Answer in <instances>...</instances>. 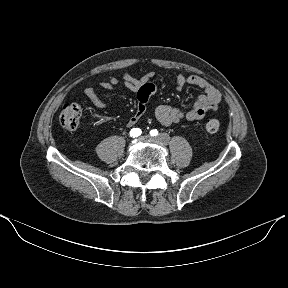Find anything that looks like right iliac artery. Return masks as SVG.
<instances>
[{
	"mask_svg": "<svg viewBox=\"0 0 288 288\" xmlns=\"http://www.w3.org/2000/svg\"><path fill=\"white\" fill-rule=\"evenodd\" d=\"M141 133H142V131L139 128H133L130 131V136L135 138V137H138Z\"/></svg>",
	"mask_w": 288,
	"mask_h": 288,
	"instance_id": "1",
	"label": "right iliac artery"
}]
</instances>
